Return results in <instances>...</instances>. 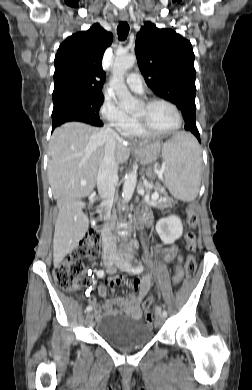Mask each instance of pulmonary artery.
<instances>
[{"label": "pulmonary artery", "instance_id": "e3ab8cb5", "mask_svg": "<svg viewBox=\"0 0 252 390\" xmlns=\"http://www.w3.org/2000/svg\"><path fill=\"white\" fill-rule=\"evenodd\" d=\"M126 83L128 87L136 93L143 92V81L142 77L137 73H131L126 78Z\"/></svg>", "mask_w": 252, "mask_h": 390}]
</instances>
